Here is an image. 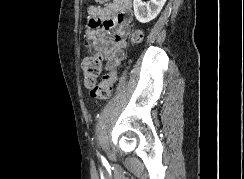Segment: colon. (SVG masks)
Instances as JSON below:
<instances>
[{
    "mask_svg": "<svg viewBox=\"0 0 244 179\" xmlns=\"http://www.w3.org/2000/svg\"><path fill=\"white\" fill-rule=\"evenodd\" d=\"M98 3H107V0H97ZM142 37L140 30H134L132 33V41L136 42ZM82 70L84 72V84L90 90V96L97 101L108 100L112 90L118 81V70L113 69L108 72L102 81L97 82L102 67L101 54H94L82 61Z\"/></svg>",
    "mask_w": 244,
    "mask_h": 179,
    "instance_id": "obj_1",
    "label": "colon"
}]
</instances>
